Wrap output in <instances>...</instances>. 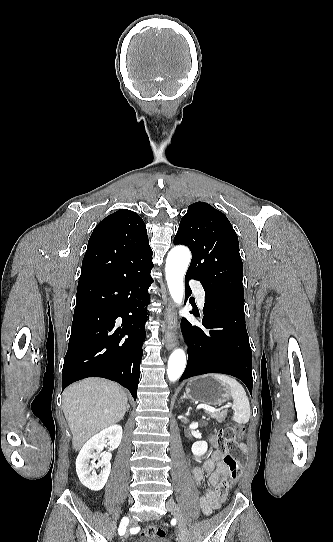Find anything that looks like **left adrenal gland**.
<instances>
[{
    "label": "left adrenal gland",
    "instance_id": "1",
    "mask_svg": "<svg viewBox=\"0 0 333 542\" xmlns=\"http://www.w3.org/2000/svg\"><path fill=\"white\" fill-rule=\"evenodd\" d=\"M184 398H187L185 392H184V396H182V398H180V400H184Z\"/></svg>",
    "mask_w": 333,
    "mask_h": 542
}]
</instances>
